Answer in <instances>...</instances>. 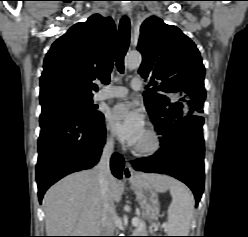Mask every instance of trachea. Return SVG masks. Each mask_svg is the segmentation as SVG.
Segmentation results:
<instances>
[{"label": "trachea", "instance_id": "3493384b", "mask_svg": "<svg viewBox=\"0 0 248 237\" xmlns=\"http://www.w3.org/2000/svg\"><path fill=\"white\" fill-rule=\"evenodd\" d=\"M130 42V21L127 16L122 17L119 25L118 46L116 49V66L120 73L124 72V56Z\"/></svg>", "mask_w": 248, "mask_h": 237}]
</instances>
